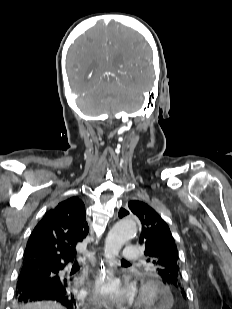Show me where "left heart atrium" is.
<instances>
[{
    "label": "left heart atrium",
    "instance_id": "1",
    "mask_svg": "<svg viewBox=\"0 0 232 309\" xmlns=\"http://www.w3.org/2000/svg\"><path fill=\"white\" fill-rule=\"evenodd\" d=\"M99 294L104 301L116 306H122L133 301L134 288L119 280L109 279L101 285Z\"/></svg>",
    "mask_w": 232,
    "mask_h": 309
}]
</instances>
